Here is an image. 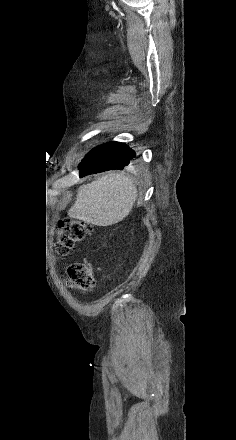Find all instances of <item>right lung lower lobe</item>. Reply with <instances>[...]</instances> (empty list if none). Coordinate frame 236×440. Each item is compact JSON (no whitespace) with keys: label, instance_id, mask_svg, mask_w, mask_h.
<instances>
[{"label":"right lung lower lobe","instance_id":"1","mask_svg":"<svg viewBox=\"0 0 236 440\" xmlns=\"http://www.w3.org/2000/svg\"><path fill=\"white\" fill-rule=\"evenodd\" d=\"M135 152L125 143L108 142L92 149L79 165L80 177L129 165Z\"/></svg>","mask_w":236,"mask_h":440}]
</instances>
